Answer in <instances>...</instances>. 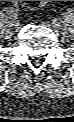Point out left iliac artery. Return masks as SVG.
Wrapping results in <instances>:
<instances>
[{
  "instance_id": "1",
  "label": "left iliac artery",
  "mask_w": 74,
  "mask_h": 122,
  "mask_svg": "<svg viewBox=\"0 0 74 122\" xmlns=\"http://www.w3.org/2000/svg\"><path fill=\"white\" fill-rule=\"evenodd\" d=\"M61 23H62V21H61V22H58L57 25H58L59 27H61Z\"/></svg>"
}]
</instances>
